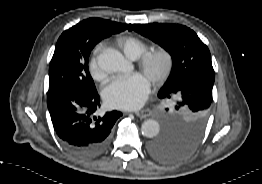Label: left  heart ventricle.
Returning <instances> with one entry per match:
<instances>
[{"label":"left heart ventricle","mask_w":262,"mask_h":184,"mask_svg":"<svg viewBox=\"0 0 262 184\" xmlns=\"http://www.w3.org/2000/svg\"><path fill=\"white\" fill-rule=\"evenodd\" d=\"M161 66V63L159 62L158 64H157V67H160ZM147 77H149V75H146Z\"/></svg>","instance_id":"left-heart-ventricle-1"}]
</instances>
